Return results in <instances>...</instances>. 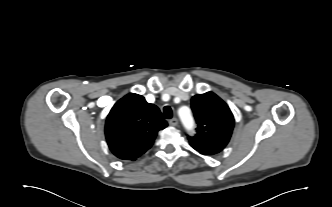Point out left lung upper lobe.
<instances>
[{
  "instance_id": "1",
  "label": "left lung upper lobe",
  "mask_w": 332,
  "mask_h": 207,
  "mask_svg": "<svg viewBox=\"0 0 332 207\" xmlns=\"http://www.w3.org/2000/svg\"><path fill=\"white\" fill-rule=\"evenodd\" d=\"M197 134L188 137L190 145L203 155L219 153L230 140L234 117L227 104L213 92L191 99Z\"/></svg>"
}]
</instances>
